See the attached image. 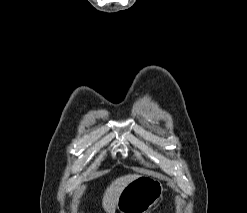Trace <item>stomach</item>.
Wrapping results in <instances>:
<instances>
[{
	"instance_id": "1",
	"label": "stomach",
	"mask_w": 247,
	"mask_h": 213,
	"mask_svg": "<svg viewBox=\"0 0 247 213\" xmlns=\"http://www.w3.org/2000/svg\"><path fill=\"white\" fill-rule=\"evenodd\" d=\"M162 183L150 176H139L121 192L117 208L120 213H147L163 196Z\"/></svg>"
}]
</instances>
